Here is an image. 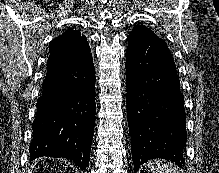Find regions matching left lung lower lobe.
Segmentation results:
<instances>
[{"instance_id":"0a47b994","label":"left lung lower lobe","mask_w":219,"mask_h":173,"mask_svg":"<svg viewBox=\"0 0 219 173\" xmlns=\"http://www.w3.org/2000/svg\"><path fill=\"white\" fill-rule=\"evenodd\" d=\"M127 118L134 168L161 158L184 165V96L175 63L155 33L127 37Z\"/></svg>"}]
</instances>
